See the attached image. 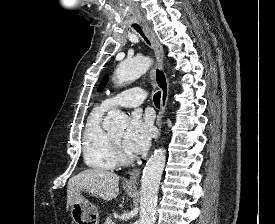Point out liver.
Here are the masks:
<instances>
[{
	"instance_id": "obj_1",
	"label": "liver",
	"mask_w": 275,
	"mask_h": 224,
	"mask_svg": "<svg viewBox=\"0 0 275 224\" xmlns=\"http://www.w3.org/2000/svg\"><path fill=\"white\" fill-rule=\"evenodd\" d=\"M104 201L115 199L119 193V176L104 169L84 170L68 181L67 209L75 197L80 196V190Z\"/></svg>"
}]
</instances>
